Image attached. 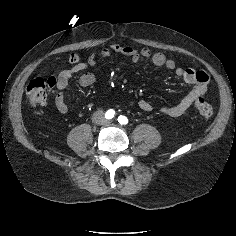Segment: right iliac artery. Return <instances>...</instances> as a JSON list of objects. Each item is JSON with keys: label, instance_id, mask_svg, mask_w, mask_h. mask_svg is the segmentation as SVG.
<instances>
[{"label": "right iliac artery", "instance_id": "right-iliac-artery-1", "mask_svg": "<svg viewBox=\"0 0 236 236\" xmlns=\"http://www.w3.org/2000/svg\"><path fill=\"white\" fill-rule=\"evenodd\" d=\"M114 115H115V111H114L113 109H110V110H108V111L106 112L105 117H106L107 119H111V118L114 117Z\"/></svg>", "mask_w": 236, "mask_h": 236}]
</instances>
